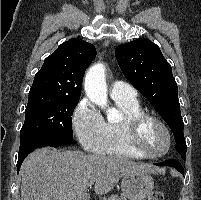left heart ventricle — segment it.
Segmentation results:
<instances>
[{
	"label": "left heart ventricle",
	"instance_id": "left-heart-ventricle-1",
	"mask_svg": "<svg viewBox=\"0 0 201 200\" xmlns=\"http://www.w3.org/2000/svg\"><path fill=\"white\" fill-rule=\"evenodd\" d=\"M141 147L150 154H158L166 148V136L164 131L155 123L147 122L141 128L139 134Z\"/></svg>",
	"mask_w": 201,
	"mask_h": 200
}]
</instances>
